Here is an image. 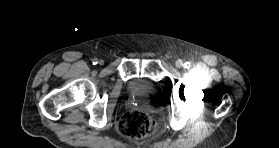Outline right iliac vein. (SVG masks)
<instances>
[{
  "instance_id": "obj_1",
  "label": "right iliac vein",
  "mask_w": 279,
  "mask_h": 148,
  "mask_svg": "<svg viewBox=\"0 0 279 148\" xmlns=\"http://www.w3.org/2000/svg\"><path fill=\"white\" fill-rule=\"evenodd\" d=\"M99 63L102 65V64H103V61L101 60V61H99Z\"/></svg>"
}]
</instances>
